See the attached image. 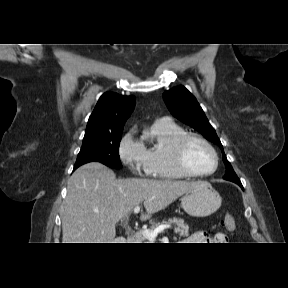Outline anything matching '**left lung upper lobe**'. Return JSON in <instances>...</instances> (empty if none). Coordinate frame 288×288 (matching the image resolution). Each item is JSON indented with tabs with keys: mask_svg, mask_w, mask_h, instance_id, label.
Masks as SVG:
<instances>
[{
	"mask_svg": "<svg viewBox=\"0 0 288 288\" xmlns=\"http://www.w3.org/2000/svg\"><path fill=\"white\" fill-rule=\"evenodd\" d=\"M163 99L175 118L191 126L222 149L226 166L223 178L232 182L240 181L224 154L223 146L214 128L210 125L196 98L184 86H177L165 91Z\"/></svg>",
	"mask_w": 288,
	"mask_h": 288,
	"instance_id": "obj_1",
	"label": "left lung upper lobe"
}]
</instances>
